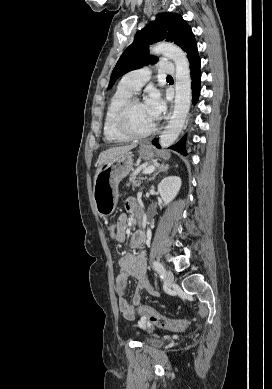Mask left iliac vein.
Masks as SVG:
<instances>
[{
  "mask_svg": "<svg viewBox=\"0 0 272 389\" xmlns=\"http://www.w3.org/2000/svg\"><path fill=\"white\" fill-rule=\"evenodd\" d=\"M165 282L168 287H170L174 282V275L170 270L165 271Z\"/></svg>",
  "mask_w": 272,
  "mask_h": 389,
  "instance_id": "obj_1",
  "label": "left iliac vein"
}]
</instances>
